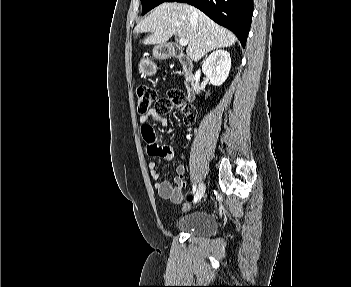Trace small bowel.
I'll return each mask as SVG.
<instances>
[{"label":"small bowel","mask_w":351,"mask_h":287,"mask_svg":"<svg viewBox=\"0 0 351 287\" xmlns=\"http://www.w3.org/2000/svg\"><path fill=\"white\" fill-rule=\"evenodd\" d=\"M151 119L162 127H169L170 125L166 118L161 117L152 109L141 114L139 117L142 138L144 145H146L144 146V151L147 152V156H153V159L148 164L150 175L155 181L154 186L159 196L170 199L174 203H181L183 200V190L186 188V167L183 164H179L175 168L176 176L174 178V184L161 178L156 159L162 158L169 161L173 158L174 152L171 147L162 146V143L158 142V134L155 132L154 122H148Z\"/></svg>","instance_id":"obj_1"}]
</instances>
